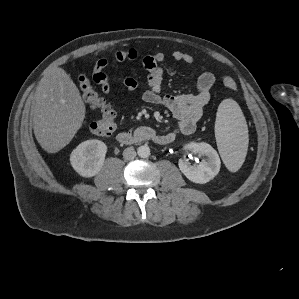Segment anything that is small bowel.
<instances>
[{
  "mask_svg": "<svg viewBox=\"0 0 299 299\" xmlns=\"http://www.w3.org/2000/svg\"><path fill=\"white\" fill-rule=\"evenodd\" d=\"M139 56V52L134 48L121 50L115 53L111 63H122L127 60L135 61ZM172 58L176 62H183L187 65L194 63L192 55L180 51H174ZM164 60L163 53L149 54L142 58V64L148 72L147 88L142 93V99L149 104L165 106L176 119V125L162 135L163 143H169L180 134L190 135L194 133L198 122L203 117L205 107L211 100V90L216 79L211 72L201 69L195 93L162 95L164 70L161 63ZM109 64L110 62L107 59L102 58L95 63L93 68V80L101 87L104 94H109L111 91L109 79L104 73ZM122 84L128 91H133L138 87L137 80L130 76L125 77Z\"/></svg>",
  "mask_w": 299,
  "mask_h": 299,
  "instance_id": "small-bowel-1",
  "label": "small bowel"
}]
</instances>
